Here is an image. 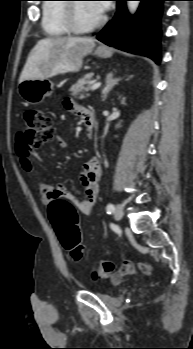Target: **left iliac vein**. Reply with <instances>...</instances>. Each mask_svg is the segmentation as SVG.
I'll use <instances>...</instances> for the list:
<instances>
[{"mask_svg":"<svg viewBox=\"0 0 193 349\" xmlns=\"http://www.w3.org/2000/svg\"><path fill=\"white\" fill-rule=\"evenodd\" d=\"M114 216L116 219L120 220L123 217V206L122 204H117L114 210Z\"/></svg>","mask_w":193,"mask_h":349,"instance_id":"left-iliac-vein-1","label":"left iliac vein"}]
</instances>
